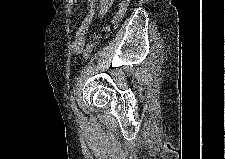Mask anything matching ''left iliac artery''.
Segmentation results:
<instances>
[{"instance_id": "left-iliac-artery-1", "label": "left iliac artery", "mask_w": 225, "mask_h": 159, "mask_svg": "<svg viewBox=\"0 0 225 159\" xmlns=\"http://www.w3.org/2000/svg\"><path fill=\"white\" fill-rule=\"evenodd\" d=\"M70 101H71V107L74 109V111H75L76 113H78L77 115L80 117L79 111H78L77 106H76V104H75V97H74V94L71 95Z\"/></svg>"}]
</instances>
